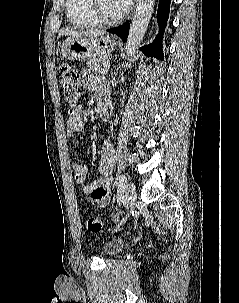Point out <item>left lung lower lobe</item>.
I'll use <instances>...</instances> for the list:
<instances>
[{
	"mask_svg": "<svg viewBox=\"0 0 239 303\" xmlns=\"http://www.w3.org/2000/svg\"><path fill=\"white\" fill-rule=\"evenodd\" d=\"M170 2L171 0H159L158 12H157V19L160 27L159 34L157 35L154 42L150 45H146L140 48L143 53L148 56H154L161 60H163V50H162V34L164 32L168 16H169V9H170ZM130 24L129 22L112 29H108L107 31L110 33H114L120 36L125 42L128 37Z\"/></svg>",
	"mask_w": 239,
	"mask_h": 303,
	"instance_id": "0a47b994",
	"label": "left lung lower lobe"
}]
</instances>
